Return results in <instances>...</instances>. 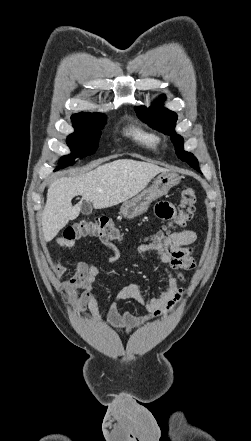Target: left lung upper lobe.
<instances>
[{"label":"left lung upper lobe","instance_id":"left-lung-upper-lobe-1","mask_svg":"<svg viewBox=\"0 0 251 441\" xmlns=\"http://www.w3.org/2000/svg\"><path fill=\"white\" fill-rule=\"evenodd\" d=\"M165 96H162L160 100H164ZM135 111L138 116L148 123L149 126L158 129L164 134L170 135L173 144L175 145V151L182 161L187 162L191 167L198 170V162L193 154L183 150V138L175 134L174 127L177 121L176 113L163 108L160 104H155L150 108L145 106L135 107Z\"/></svg>","mask_w":251,"mask_h":441}]
</instances>
